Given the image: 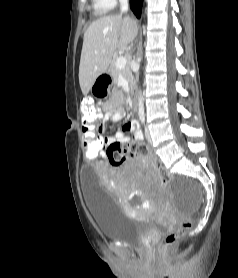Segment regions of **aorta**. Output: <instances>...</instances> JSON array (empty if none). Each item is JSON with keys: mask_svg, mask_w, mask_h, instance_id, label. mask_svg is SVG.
<instances>
[{"mask_svg": "<svg viewBox=\"0 0 238 278\" xmlns=\"http://www.w3.org/2000/svg\"><path fill=\"white\" fill-rule=\"evenodd\" d=\"M138 108H139V113L143 114L144 113V103H143V96H142V92H139V96H138Z\"/></svg>", "mask_w": 238, "mask_h": 278, "instance_id": "obj_1", "label": "aorta"}]
</instances>
